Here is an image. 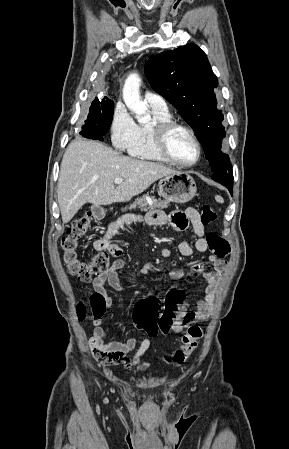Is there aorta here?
<instances>
[{"label": "aorta", "mask_w": 289, "mask_h": 449, "mask_svg": "<svg viewBox=\"0 0 289 449\" xmlns=\"http://www.w3.org/2000/svg\"><path fill=\"white\" fill-rule=\"evenodd\" d=\"M141 79L137 73H131L124 84L123 100L126 106L136 114L139 123L150 121L151 116L145 102L140 98Z\"/></svg>", "instance_id": "aorta-1"}]
</instances>
